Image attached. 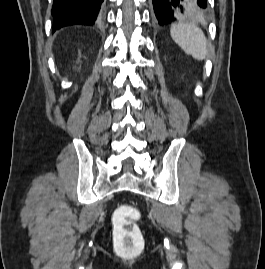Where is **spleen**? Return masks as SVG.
Segmentation results:
<instances>
[{"label": "spleen", "mask_w": 265, "mask_h": 269, "mask_svg": "<svg viewBox=\"0 0 265 269\" xmlns=\"http://www.w3.org/2000/svg\"><path fill=\"white\" fill-rule=\"evenodd\" d=\"M172 39L187 54L196 60H204L208 45L203 31L193 24H174L170 31Z\"/></svg>", "instance_id": "obj_1"}]
</instances>
